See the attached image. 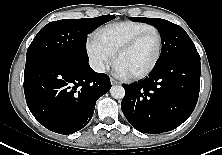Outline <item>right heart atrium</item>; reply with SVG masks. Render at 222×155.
<instances>
[{
    "label": "right heart atrium",
    "instance_id": "right-heart-atrium-1",
    "mask_svg": "<svg viewBox=\"0 0 222 155\" xmlns=\"http://www.w3.org/2000/svg\"><path fill=\"white\" fill-rule=\"evenodd\" d=\"M86 49L92 68L104 72L114 59V52L103 42L98 34L89 36Z\"/></svg>",
    "mask_w": 222,
    "mask_h": 155
}]
</instances>
